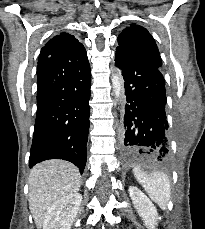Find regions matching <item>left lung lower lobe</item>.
I'll list each match as a JSON object with an SVG mask.
<instances>
[{
	"label": "left lung lower lobe",
	"instance_id": "obj_1",
	"mask_svg": "<svg viewBox=\"0 0 205 229\" xmlns=\"http://www.w3.org/2000/svg\"><path fill=\"white\" fill-rule=\"evenodd\" d=\"M115 65L122 70L125 81L127 103L121 142L124 154H146L155 161H165L170 152L161 69L118 47Z\"/></svg>",
	"mask_w": 205,
	"mask_h": 229
}]
</instances>
